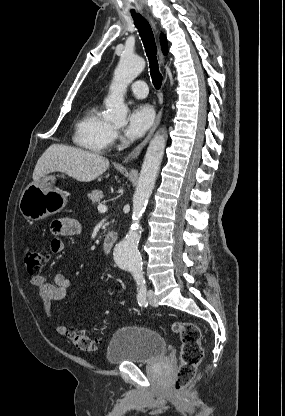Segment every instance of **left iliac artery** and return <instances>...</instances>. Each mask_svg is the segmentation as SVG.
Listing matches in <instances>:
<instances>
[{"label":"left iliac artery","instance_id":"44dca946","mask_svg":"<svg viewBox=\"0 0 285 416\" xmlns=\"http://www.w3.org/2000/svg\"><path fill=\"white\" fill-rule=\"evenodd\" d=\"M136 282H137V290H138V294H137V300H138V304L139 306H145L147 307L148 302L146 300V296H147V286H146V281L145 278L142 274H137L134 275Z\"/></svg>","mask_w":285,"mask_h":416}]
</instances>
